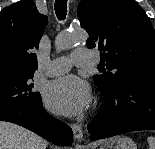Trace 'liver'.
I'll use <instances>...</instances> for the list:
<instances>
[{"instance_id": "obj_1", "label": "liver", "mask_w": 155, "mask_h": 149, "mask_svg": "<svg viewBox=\"0 0 155 149\" xmlns=\"http://www.w3.org/2000/svg\"><path fill=\"white\" fill-rule=\"evenodd\" d=\"M47 142L35 133L0 121V149H46Z\"/></svg>"}]
</instances>
